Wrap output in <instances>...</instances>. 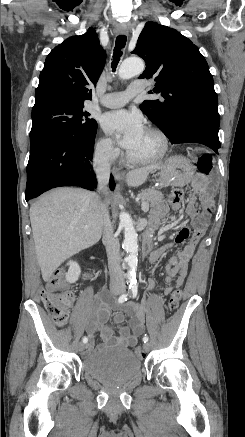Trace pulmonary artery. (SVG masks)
<instances>
[{
  "mask_svg": "<svg viewBox=\"0 0 245 437\" xmlns=\"http://www.w3.org/2000/svg\"><path fill=\"white\" fill-rule=\"evenodd\" d=\"M145 85L141 81L133 82L126 91L108 93L102 97L100 103L107 108H118L125 105L130 98L143 92Z\"/></svg>",
  "mask_w": 245,
  "mask_h": 437,
  "instance_id": "obj_1",
  "label": "pulmonary artery"
}]
</instances>
